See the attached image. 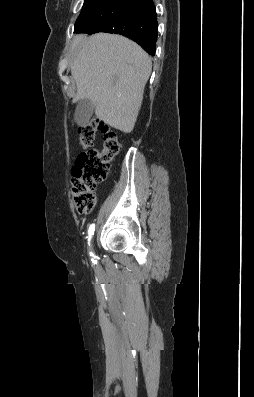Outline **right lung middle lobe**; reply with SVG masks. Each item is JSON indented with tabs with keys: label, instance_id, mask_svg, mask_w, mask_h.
I'll list each match as a JSON object with an SVG mask.
<instances>
[{
	"label": "right lung middle lobe",
	"instance_id": "1",
	"mask_svg": "<svg viewBox=\"0 0 254 397\" xmlns=\"http://www.w3.org/2000/svg\"><path fill=\"white\" fill-rule=\"evenodd\" d=\"M105 2L106 0H85L82 11L75 23V30L93 17Z\"/></svg>",
	"mask_w": 254,
	"mask_h": 397
}]
</instances>
